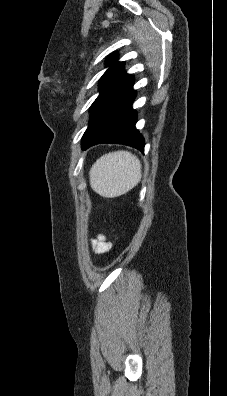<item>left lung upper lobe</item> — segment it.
<instances>
[{
	"instance_id": "5c2ea615",
	"label": "left lung upper lobe",
	"mask_w": 227,
	"mask_h": 396,
	"mask_svg": "<svg viewBox=\"0 0 227 396\" xmlns=\"http://www.w3.org/2000/svg\"><path fill=\"white\" fill-rule=\"evenodd\" d=\"M117 54H112L108 60L107 65L109 66L108 70L103 74L100 79V94L94 103L91 106V110L111 91H113L116 87L122 84L125 80H127L131 75L126 74L124 72L123 62H116Z\"/></svg>"
}]
</instances>
